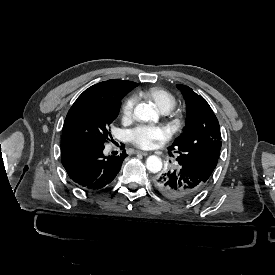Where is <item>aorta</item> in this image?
Returning a JSON list of instances; mask_svg holds the SVG:
<instances>
[{
  "instance_id": "762f6f07",
  "label": "aorta",
  "mask_w": 275,
  "mask_h": 275,
  "mask_svg": "<svg viewBox=\"0 0 275 275\" xmlns=\"http://www.w3.org/2000/svg\"><path fill=\"white\" fill-rule=\"evenodd\" d=\"M134 116L142 121H153L155 123L159 120V115L153 108V105L140 103L134 109ZM147 169L151 173H157L162 169V161L159 157L151 155L146 160Z\"/></svg>"
}]
</instances>
